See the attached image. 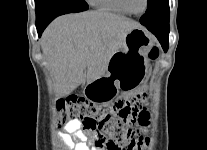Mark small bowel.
Returning <instances> with one entry per match:
<instances>
[{"instance_id": "obj_1", "label": "small bowel", "mask_w": 207, "mask_h": 150, "mask_svg": "<svg viewBox=\"0 0 207 150\" xmlns=\"http://www.w3.org/2000/svg\"><path fill=\"white\" fill-rule=\"evenodd\" d=\"M141 113L143 111H140ZM141 125H145L141 122ZM82 123L78 119L69 120L64 133H57V137L63 143L64 147L72 150H102L95 145L98 136L94 133L86 134L81 130ZM72 137L76 140L73 142Z\"/></svg>"}]
</instances>
